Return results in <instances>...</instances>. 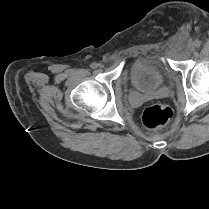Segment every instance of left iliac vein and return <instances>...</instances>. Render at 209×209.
<instances>
[{
	"label": "left iliac vein",
	"instance_id": "obj_1",
	"mask_svg": "<svg viewBox=\"0 0 209 209\" xmlns=\"http://www.w3.org/2000/svg\"><path fill=\"white\" fill-rule=\"evenodd\" d=\"M194 47H195L194 44H190V46H189L190 51H193Z\"/></svg>",
	"mask_w": 209,
	"mask_h": 209
}]
</instances>
